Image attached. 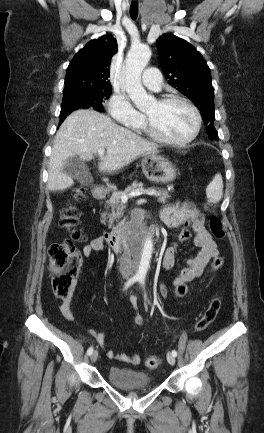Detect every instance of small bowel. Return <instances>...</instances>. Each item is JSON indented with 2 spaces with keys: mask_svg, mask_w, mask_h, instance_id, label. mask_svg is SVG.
<instances>
[{
  "mask_svg": "<svg viewBox=\"0 0 264 433\" xmlns=\"http://www.w3.org/2000/svg\"><path fill=\"white\" fill-rule=\"evenodd\" d=\"M161 215L168 226L183 227L179 235L180 243L193 239L194 245L199 248L197 255L188 260L187 267L181 269L179 275L174 280V285L191 282L202 275L210 259L218 254L217 245L205 227L204 215L191 202H181L168 205L162 209ZM104 248V240L102 238H96L83 248L82 253L88 258L95 253L102 252ZM178 249L179 245L175 244L165 250L161 261L164 269H171L174 267ZM159 290L162 297H166L167 289L163 284H160ZM71 301L72 293H70L67 298L62 299L60 306L62 315L68 321L74 320ZM135 321L140 325L145 324V320L139 315L135 317ZM87 332L95 338L99 345H105V332L95 329H90ZM108 356L111 359L119 360L131 365H137L140 363V357L136 354H116L113 351H109Z\"/></svg>",
  "mask_w": 264,
  "mask_h": 433,
  "instance_id": "c3829d8e",
  "label": "small bowel"
}]
</instances>
